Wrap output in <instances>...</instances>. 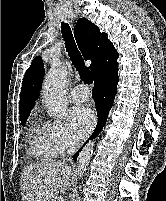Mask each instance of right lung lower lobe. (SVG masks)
Listing matches in <instances>:
<instances>
[{"label": "right lung lower lobe", "mask_w": 166, "mask_h": 201, "mask_svg": "<svg viewBox=\"0 0 166 201\" xmlns=\"http://www.w3.org/2000/svg\"><path fill=\"white\" fill-rule=\"evenodd\" d=\"M118 81L117 62L106 65L97 76L94 77L93 97L98 114V123L89 140L96 138L106 123L109 110L113 105L114 97L117 92ZM89 140H87L84 145H86ZM80 151L81 149L73 155L74 160L77 159Z\"/></svg>", "instance_id": "right-lung-lower-lobe-1"}]
</instances>
